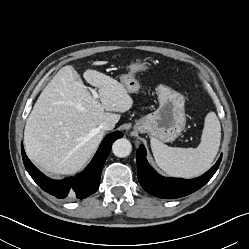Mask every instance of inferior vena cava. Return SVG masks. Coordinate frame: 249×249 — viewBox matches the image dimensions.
<instances>
[{
  "mask_svg": "<svg viewBox=\"0 0 249 249\" xmlns=\"http://www.w3.org/2000/svg\"><path fill=\"white\" fill-rule=\"evenodd\" d=\"M99 128L103 131H107V130H111L113 129V127L107 123V122H102L100 125H99Z\"/></svg>",
  "mask_w": 249,
  "mask_h": 249,
  "instance_id": "inferior-vena-cava-1",
  "label": "inferior vena cava"
}]
</instances>
